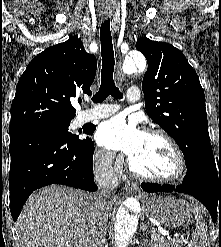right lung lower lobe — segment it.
<instances>
[{"instance_id": "1", "label": "right lung lower lobe", "mask_w": 221, "mask_h": 247, "mask_svg": "<svg viewBox=\"0 0 221 247\" xmlns=\"http://www.w3.org/2000/svg\"><path fill=\"white\" fill-rule=\"evenodd\" d=\"M94 130L87 128L88 134ZM9 134L10 207L14 221L30 194L43 186L63 184L87 191L98 189L93 176L91 139L72 141L31 127L9 129Z\"/></svg>"}]
</instances>
